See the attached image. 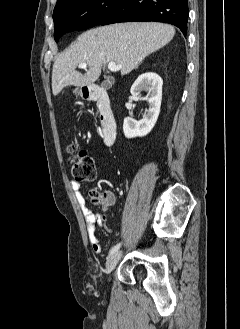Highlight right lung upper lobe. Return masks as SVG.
<instances>
[{"mask_svg":"<svg viewBox=\"0 0 240 329\" xmlns=\"http://www.w3.org/2000/svg\"><path fill=\"white\" fill-rule=\"evenodd\" d=\"M68 1L69 0H57L56 6H55L54 9H57V8L61 7L63 4H65Z\"/></svg>","mask_w":240,"mask_h":329,"instance_id":"1","label":"right lung upper lobe"}]
</instances>
